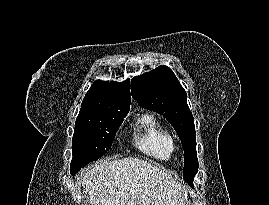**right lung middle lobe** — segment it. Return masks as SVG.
I'll return each mask as SVG.
<instances>
[{"mask_svg":"<svg viewBox=\"0 0 269 205\" xmlns=\"http://www.w3.org/2000/svg\"><path fill=\"white\" fill-rule=\"evenodd\" d=\"M124 117L78 115L72 139V175L107 153Z\"/></svg>","mask_w":269,"mask_h":205,"instance_id":"right-lung-middle-lobe-1","label":"right lung middle lobe"}]
</instances>
